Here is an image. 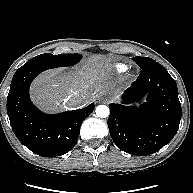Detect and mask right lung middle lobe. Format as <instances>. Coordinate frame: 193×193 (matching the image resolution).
<instances>
[{
    "label": "right lung middle lobe",
    "instance_id": "1",
    "mask_svg": "<svg viewBox=\"0 0 193 193\" xmlns=\"http://www.w3.org/2000/svg\"><path fill=\"white\" fill-rule=\"evenodd\" d=\"M80 59L81 55L79 54H59L54 56L50 53H46L32 58L27 63H25L23 67L42 66L48 69L65 67L76 64Z\"/></svg>",
    "mask_w": 193,
    "mask_h": 193
}]
</instances>
